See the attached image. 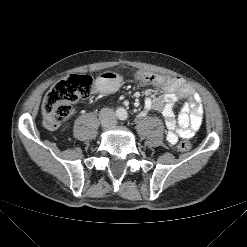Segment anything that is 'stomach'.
Masks as SVG:
<instances>
[{"mask_svg": "<svg viewBox=\"0 0 247 247\" xmlns=\"http://www.w3.org/2000/svg\"><path fill=\"white\" fill-rule=\"evenodd\" d=\"M121 76L115 72L106 71L97 78V85L105 92H112L119 88Z\"/></svg>", "mask_w": 247, "mask_h": 247, "instance_id": "obj_1", "label": "stomach"}]
</instances>
